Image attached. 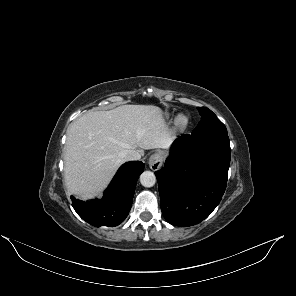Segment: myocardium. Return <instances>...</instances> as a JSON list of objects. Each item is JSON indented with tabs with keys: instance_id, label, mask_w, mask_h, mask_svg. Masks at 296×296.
Here are the masks:
<instances>
[{
	"instance_id": "f54148a6",
	"label": "myocardium",
	"mask_w": 296,
	"mask_h": 296,
	"mask_svg": "<svg viewBox=\"0 0 296 296\" xmlns=\"http://www.w3.org/2000/svg\"><path fill=\"white\" fill-rule=\"evenodd\" d=\"M189 124V117L185 114H179L175 119L176 130H183Z\"/></svg>"
}]
</instances>
